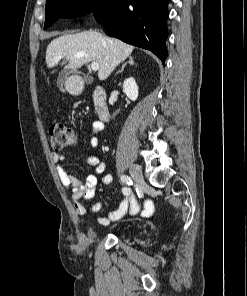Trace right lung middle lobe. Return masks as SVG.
<instances>
[{
    "instance_id": "1",
    "label": "right lung middle lobe",
    "mask_w": 247,
    "mask_h": 296,
    "mask_svg": "<svg viewBox=\"0 0 247 296\" xmlns=\"http://www.w3.org/2000/svg\"><path fill=\"white\" fill-rule=\"evenodd\" d=\"M110 2L111 0H47L45 28L50 27L60 18L103 12L109 7Z\"/></svg>"
}]
</instances>
